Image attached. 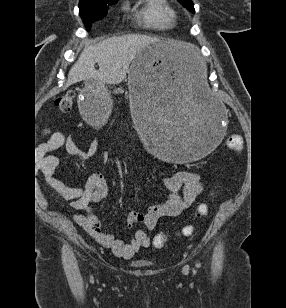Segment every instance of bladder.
Returning a JSON list of instances; mask_svg holds the SVG:
<instances>
[{
	"mask_svg": "<svg viewBox=\"0 0 286 308\" xmlns=\"http://www.w3.org/2000/svg\"><path fill=\"white\" fill-rule=\"evenodd\" d=\"M131 264H133L134 266L140 267V268H144V267L150 266L151 262L148 260H143V259H135L131 261Z\"/></svg>",
	"mask_w": 286,
	"mask_h": 308,
	"instance_id": "obj_1",
	"label": "bladder"
}]
</instances>
